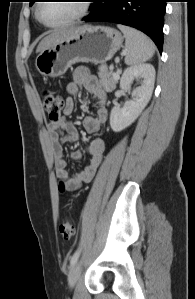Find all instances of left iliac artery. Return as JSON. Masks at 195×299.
Returning a JSON list of instances; mask_svg holds the SVG:
<instances>
[{
  "label": "left iliac artery",
  "mask_w": 195,
  "mask_h": 299,
  "mask_svg": "<svg viewBox=\"0 0 195 299\" xmlns=\"http://www.w3.org/2000/svg\"><path fill=\"white\" fill-rule=\"evenodd\" d=\"M79 254H80V249L78 248L75 253L73 254V256L71 257V260H70V264L71 266H73L77 260H78V257H79Z\"/></svg>",
  "instance_id": "44dca946"
}]
</instances>
